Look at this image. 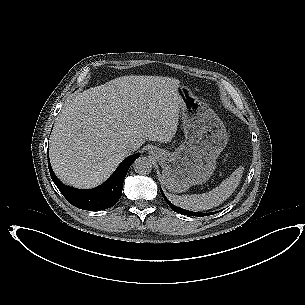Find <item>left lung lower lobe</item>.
<instances>
[{
  "label": "left lung lower lobe",
  "mask_w": 305,
  "mask_h": 305,
  "mask_svg": "<svg viewBox=\"0 0 305 305\" xmlns=\"http://www.w3.org/2000/svg\"><path fill=\"white\" fill-rule=\"evenodd\" d=\"M165 201L168 203V205L174 210V211H177L178 210V207L174 206L167 198L166 196L164 195V193L161 191ZM197 213V212H196ZM216 212L214 213H197V215H193V216H197V217H202V216H208V215H212V214H215Z\"/></svg>",
  "instance_id": "1"
}]
</instances>
